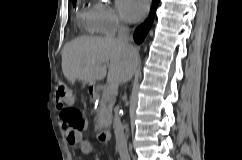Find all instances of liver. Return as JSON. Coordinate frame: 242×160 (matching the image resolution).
Instances as JSON below:
<instances>
[{
  "instance_id": "6515ba94",
  "label": "liver",
  "mask_w": 242,
  "mask_h": 160,
  "mask_svg": "<svg viewBox=\"0 0 242 160\" xmlns=\"http://www.w3.org/2000/svg\"><path fill=\"white\" fill-rule=\"evenodd\" d=\"M122 50H125V47L110 37L76 38L62 49L63 74L72 84L76 80L95 84L106 77V64L109 63L107 83L111 92L115 93L119 84L124 82L119 81L118 68ZM137 64L138 62L135 63V68ZM133 75L134 73L132 77Z\"/></svg>"
}]
</instances>
